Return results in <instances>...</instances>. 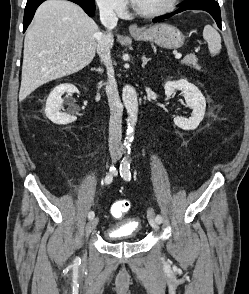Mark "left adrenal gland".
Returning a JSON list of instances; mask_svg holds the SVG:
<instances>
[{
    "label": "left adrenal gland",
    "mask_w": 249,
    "mask_h": 294,
    "mask_svg": "<svg viewBox=\"0 0 249 294\" xmlns=\"http://www.w3.org/2000/svg\"><path fill=\"white\" fill-rule=\"evenodd\" d=\"M151 60V58H146L145 55L142 56V67L144 68L147 62Z\"/></svg>",
    "instance_id": "1"
}]
</instances>
